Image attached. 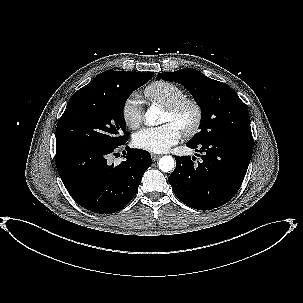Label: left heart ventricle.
<instances>
[{"label":"left heart ventricle","mask_w":303,"mask_h":303,"mask_svg":"<svg viewBox=\"0 0 303 303\" xmlns=\"http://www.w3.org/2000/svg\"><path fill=\"white\" fill-rule=\"evenodd\" d=\"M193 119V111L191 108L186 107L180 111L177 115H170L168 112L164 111L161 123L165 124L168 122L174 123L179 129L183 126L189 125Z\"/></svg>","instance_id":"left-heart-ventricle-1"}]
</instances>
